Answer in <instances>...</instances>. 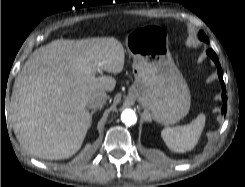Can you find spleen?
Here are the masks:
<instances>
[{
    "label": "spleen",
    "instance_id": "3e777b00",
    "mask_svg": "<svg viewBox=\"0 0 245 187\" xmlns=\"http://www.w3.org/2000/svg\"><path fill=\"white\" fill-rule=\"evenodd\" d=\"M205 114H199L191 123L184 126L166 127L161 131L167 147L177 153L192 150L198 143L205 126Z\"/></svg>",
    "mask_w": 245,
    "mask_h": 187
}]
</instances>
